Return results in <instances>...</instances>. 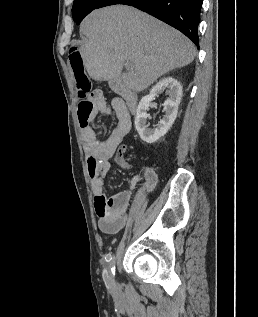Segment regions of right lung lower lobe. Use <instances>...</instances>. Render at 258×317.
I'll list each match as a JSON object with an SVG mask.
<instances>
[{"instance_id":"obj_1","label":"right lung lower lobe","mask_w":258,"mask_h":317,"mask_svg":"<svg viewBox=\"0 0 258 317\" xmlns=\"http://www.w3.org/2000/svg\"><path fill=\"white\" fill-rule=\"evenodd\" d=\"M203 0H87L76 22L79 24L91 11L114 4L138 8L171 25L191 39L199 48L198 24Z\"/></svg>"}]
</instances>
